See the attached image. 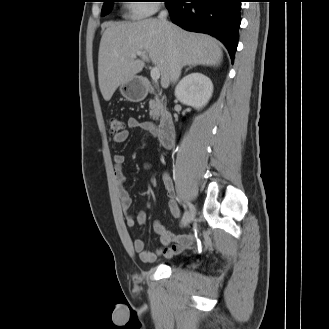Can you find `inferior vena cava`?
Returning <instances> with one entry per match:
<instances>
[{
	"label": "inferior vena cava",
	"mask_w": 329,
	"mask_h": 329,
	"mask_svg": "<svg viewBox=\"0 0 329 329\" xmlns=\"http://www.w3.org/2000/svg\"><path fill=\"white\" fill-rule=\"evenodd\" d=\"M167 15H168V11L167 10H162L159 13V20L165 25V27L167 28V30L169 31L170 34H172L171 31V27L169 25V23L167 22ZM181 68L182 65L180 63V59L177 55H174L173 57V61L171 63V82L172 83H176L181 75Z\"/></svg>",
	"instance_id": "1"
}]
</instances>
